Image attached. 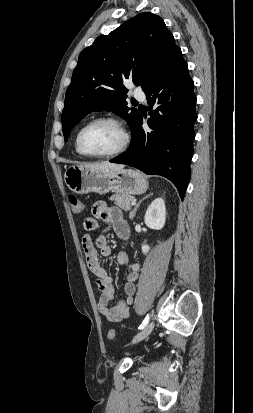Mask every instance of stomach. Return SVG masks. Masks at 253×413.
I'll use <instances>...</instances> for the list:
<instances>
[{
	"instance_id": "stomach-1",
	"label": "stomach",
	"mask_w": 253,
	"mask_h": 413,
	"mask_svg": "<svg viewBox=\"0 0 253 413\" xmlns=\"http://www.w3.org/2000/svg\"><path fill=\"white\" fill-rule=\"evenodd\" d=\"M64 181L67 187L77 194H106L113 191L135 195L144 193L148 188V182L141 172L124 168L100 171L71 166L65 171Z\"/></svg>"
}]
</instances>
